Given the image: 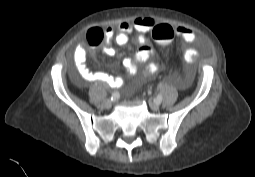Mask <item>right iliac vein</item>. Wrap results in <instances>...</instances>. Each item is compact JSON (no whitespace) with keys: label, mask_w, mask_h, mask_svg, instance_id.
Segmentation results:
<instances>
[{"label":"right iliac vein","mask_w":255,"mask_h":177,"mask_svg":"<svg viewBox=\"0 0 255 177\" xmlns=\"http://www.w3.org/2000/svg\"><path fill=\"white\" fill-rule=\"evenodd\" d=\"M102 106L106 109H109L112 106V100L111 99H105L102 102Z\"/></svg>","instance_id":"right-iliac-vein-1"}]
</instances>
